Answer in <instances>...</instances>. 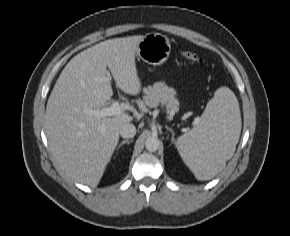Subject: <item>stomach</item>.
I'll use <instances>...</instances> for the list:
<instances>
[{
	"instance_id": "0dacf381",
	"label": "stomach",
	"mask_w": 290,
	"mask_h": 236,
	"mask_svg": "<svg viewBox=\"0 0 290 236\" xmlns=\"http://www.w3.org/2000/svg\"><path fill=\"white\" fill-rule=\"evenodd\" d=\"M171 51L169 39L160 33H148L138 45L137 57L144 62L158 66L168 59Z\"/></svg>"
}]
</instances>
